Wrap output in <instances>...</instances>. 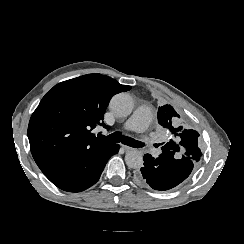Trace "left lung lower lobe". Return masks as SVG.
<instances>
[{
	"label": "left lung lower lobe",
	"instance_id": "1",
	"mask_svg": "<svg viewBox=\"0 0 244 244\" xmlns=\"http://www.w3.org/2000/svg\"><path fill=\"white\" fill-rule=\"evenodd\" d=\"M195 163L187 157H178L173 151L162 152L157 158L145 154L144 167L136 172V179L155 190H168L184 181Z\"/></svg>",
	"mask_w": 244,
	"mask_h": 244
}]
</instances>
